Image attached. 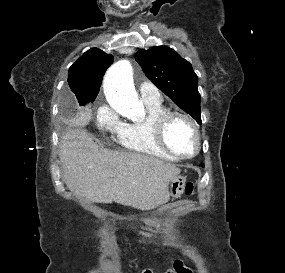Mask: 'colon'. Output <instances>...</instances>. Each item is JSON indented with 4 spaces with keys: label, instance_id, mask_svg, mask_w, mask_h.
Masks as SVG:
<instances>
[{
    "label": "colon",
    "instance_id": "obj_1",
    "mask_svg": "<svg viewBox=\"0 0 285 273\" xmlns=\"http://www.w3.org/2000/svg\"><path fill=\"white\" fill-rule=\"evenodd\" d=\"M194 192V184L189 182L184 187V194L187 196L192 195ZM142 273H153L150 269H145ZM164 273H192L191 269L187 266V264L181 260H175L173 266L166 270Z\"/></svg>",
    "mask_w": 285,
    "mask_h": 273
}]
</instances>
